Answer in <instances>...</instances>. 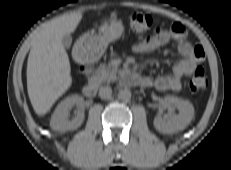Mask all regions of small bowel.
Wrapping results in <instances>:
<instances>
[{
  "instance_id": "c3829d8e",
  "label": "small bowel",
  "mask_w": 231,
  "mask_h": 170,
  "mask_svg": "<svg viewBox=\"0 0 231 170\" xmlns=\"http://www.w3.org/2000/svg\"><path fill=\"white\" fill-rule=\"evenodd\" d=\"M171 40L177 41L178 51L182 59L173 65L169 73L161 75L155 80L149 77H141L139 83L145 86H154L160 91H179L182 89L184 77L192 73L204 58L202 47L194 46L188 41L184 25L174 23L170 28L156 35L139 38L132 45V50L137 54L151 53L168 44Z\"/></svg>"
}]
</instances>
